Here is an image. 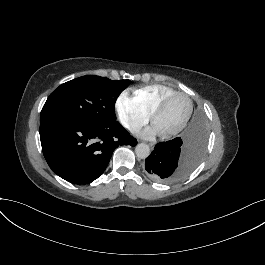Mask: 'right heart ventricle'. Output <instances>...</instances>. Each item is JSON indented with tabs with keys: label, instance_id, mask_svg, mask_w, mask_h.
<instances>
[{
	"label": "right heart ventricle",
	"instance_id": "right-heart-ventricle-1",
	"mask_svg": "<svg viewBox=\"0 0 265 265\" xmlns=\"http://www.w3.org/2000/svg\"><path fill=\"white\" fill-rule=\"evenodd\" d=\"M171 92H173V89L171 88L162 85H152L134 90V96L141 101L150 112H152L158 100Z\"/></svg>",
	"mask_w": 265,
	"mask_h": 265
}]
</instances>
